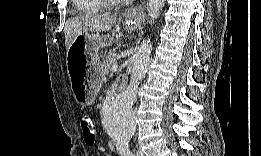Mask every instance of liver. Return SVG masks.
<instances>
[{
	"label": "liver",
	"instance_id": "6515ba94",
	"mask_svg": "<svg viewBox=\"0 0 261 156\" xmlns=\"http://www.w3.org/2000/svg\"><path fill=\"white\" fill-rule=\"evenodd\" d=\"M116 21L117 15L110 13L81 15L68 19L64 27L66 49H69L80 33L108 32Z\"/></svg>",
	"mask_w": 261,
	"mask_h": 156
}]
</instances>
